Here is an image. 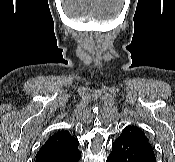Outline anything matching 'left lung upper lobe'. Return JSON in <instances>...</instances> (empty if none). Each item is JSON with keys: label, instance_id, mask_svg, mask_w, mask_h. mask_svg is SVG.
Segmentation results:
<instances>
[{"label": "left lung upper lobe", "instance_id": "1", "mask_svg": "<svg viewBox=\"0 0 175 162\" xmlns=\"http://www.w3.org/2000/svg\"><path fill=\"white\" fill-rule=\"evenodd\" d=\"M124 133L131 134V135H133L137 138H140V139L148 140L147 137L145 136L144 132L135 126H127L122 131V134H124Z\"/></svg>", "mask_w": 175, "mask_h": 162}]
</instances>
